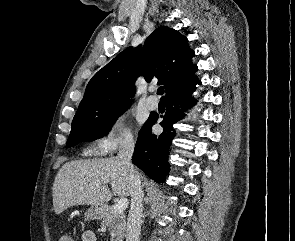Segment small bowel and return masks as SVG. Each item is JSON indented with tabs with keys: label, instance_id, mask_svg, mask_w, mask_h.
<instances>
[{
	"label": "small bowel",
	"instance_id": "1",
	"mask_svg": "<svg viewBox=\"0 0 295 241\" xmlns=\"http://www.w3.org/2000/svg\"><path fill=\"white\" fill-rule=\"evenodd\" d=\"M82 241H96L95 233L91 230H86L82 233ZM59 241H65V237L62 236Z\"/></svg>",
	"mask_w": 295,
	"mask_h": 241
}]
</instances>
